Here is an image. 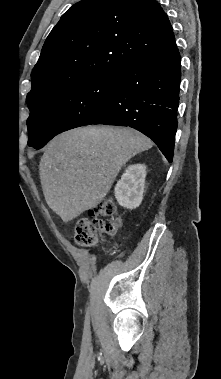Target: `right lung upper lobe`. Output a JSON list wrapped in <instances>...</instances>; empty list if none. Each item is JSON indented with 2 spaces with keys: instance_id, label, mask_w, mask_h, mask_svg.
I'll use <instances>...</instances> for the list:
<instances>
[{
  "instance_id": "obj_1",
  "label": "right lung upper lobe",
  "mask_w": 221,
  "mask_h": 379,
  "mask_svg": "<svg viewBox=\"0 0 221 379\" xmlns=\"http://www.w3.org/2000/svg\"><path fill=\"white\" fill-rule=\"evenodd\" d=\"M175 41L156 0H83L48 35L26 102L95 74L120 71Z\"/></svg>"
}]
</instances>
